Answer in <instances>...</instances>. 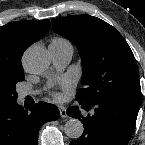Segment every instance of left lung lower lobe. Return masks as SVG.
Returning a JSON list of instances; mask_svg holds the SVG:
<instances>
[{"label":"left lung lower lobe","instance_id":"obj_1","mask_svg":"<svg viewBox=\"0 0 145 145\" xmlns=\"http://www.w3.org/2000/svg\"><path fill=\"white\" fill-rule=\"evenodd\" d=\"M83 108L95 107L93 115L82 116L78 107L71 106L67 114L83 122L82 136L70 145H127L134 131L141 97H115L96 103L76 99Z\"/></svg>","mask_w":145,"mask_h":145}]
</instances>
